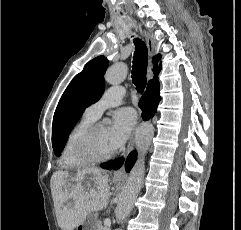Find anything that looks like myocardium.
<instances>
[{"label":"myocardium","mask_w":241,"mask_h":230,"mask_svg":"<svg viewBox=\"0 0 241 230\" xmlns=\"http://www.w3.org/2000/svg\"><path fill=\"white\" fill-rule=\"evenodd\" d=\"M100 123H92L79 137L76 144V154L78 158L87 164L105 161L114 155L110 150L105 153H99L94 146V136Z\"/></svg>","instance_id":"1"}]
</instances>
